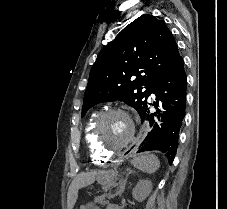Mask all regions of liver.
<instances>
[{
    "label": "liver",
    "mask_w": 227,
    "mask_h": 209,
    "mask_svg": "<svg viewBox=\"0 0 227 209\" xmlns=\"http://www.w3.org/2000/svg\"><path fill=\"white\" fill-rule=\"evenodd\" d=\"M93 175L94 173H80L79 177H77V179H74V181H72L67 195L68 209H73L76 203L78 191H74L73 187H75L77 181H80V179H83V181H86V179H92Z\"/></svg>",
    "instance_id": "1"
}]
</instances>
